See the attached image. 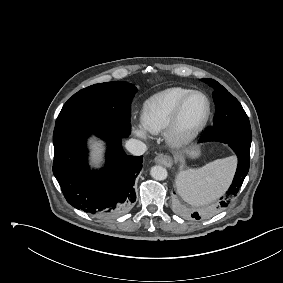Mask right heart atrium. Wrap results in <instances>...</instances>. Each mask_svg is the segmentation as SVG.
Wrapping results in <instances>:
<instances>
[{"label":"right heart atrium","instance_id":"obj_1","mask_svg":"<svg viewBox=\"0 0 283 283\" xmlns=\"http://www.w3.org/2000/svg\"><path fill=\"white\" fill-rule=\"evenodd\" d=\"M132 131L134 135L141 139H147V131L142 127V125H133Z\"/></svg>","mask_w":283,"mask_h":283}]
</instances>
